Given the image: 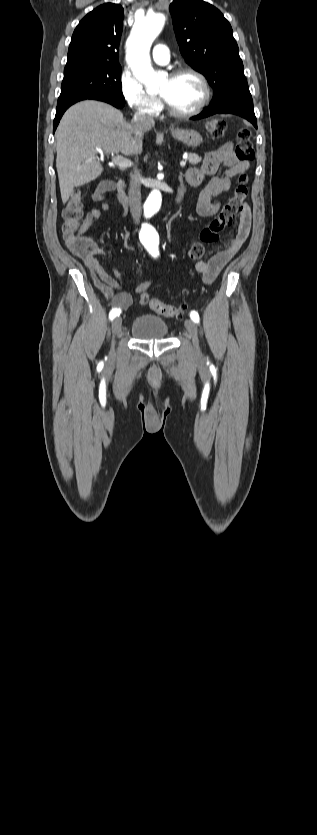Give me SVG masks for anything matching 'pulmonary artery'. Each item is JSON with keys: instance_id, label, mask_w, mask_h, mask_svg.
<instances>
[{"instance_id": "e3ab8cb5", "label": "pulmonary artery", "mask_w": 317, "mask_h": 835, "mask_svg": "<svg viewBox=\"0 0 317 835\" xmlns=\"http://www.w3.org/2000/svg\"><path fill=\"white\" fill-rule=\"evenodd\" d=\"M152 58L158 64H167L170 59L169 49L164 44H156L152 50Z\"/></svg>"}]
</instances>
